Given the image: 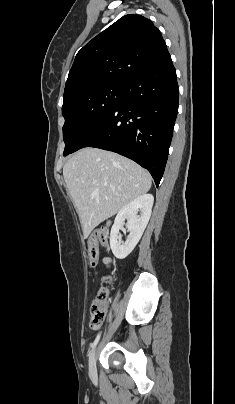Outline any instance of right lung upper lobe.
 I'll list each match as a JSON object with an SVG mask.
<instances>
[{
	"mask_svg": "<svg viewBox=\"0 0 235 404\" xmlns=\"http://www.w3.org/2000/svg\"><path fill=\"white\" fill-rule=\"evenodd\" d=\"M170 56L160 31L147 18L131 14L113 23L76 55L63 104L107 84H124Z\"/></svg>",
	"mask_w": 235,
	"mask_h": 404,
	"instance_id": "cb5924a9",
	"label": "right lung upper lobe"
}]
</instances>
